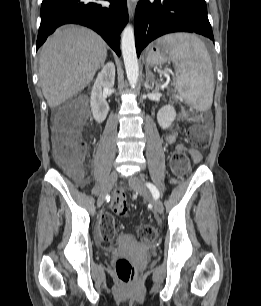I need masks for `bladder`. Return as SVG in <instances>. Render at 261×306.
<instances>
[{
    "instance_id": "obj_1",
    "label": "bladder",
    "mask_w": 261,
    "mask_h": 306,
    "mask_svg": "<svg viewBox=\"0 0 261 306\" xmlns=\"http://www.w3.org/2000/svg\"><path fill=\"white\" fill-rule=\"evenodd\" d=\"M122 239H123V244H125V241H126L127 239H129V236H128V235H123V236H122Z\"/></svg>"
}]
</instances>
